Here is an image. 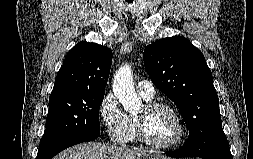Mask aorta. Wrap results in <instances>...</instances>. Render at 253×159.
Masks as SVG:
<instances>
[{"mask_svg":"<svg viewBox=\"0 0 253 159\" xmlns=\"http://www.w3.org/2000/svg\"><path fill=\"white\" fill-rule=\"evenodd\" d=\"M113 92L127 112H137L143 107L141 99L137 96L134 88L131 66H121L114 77Z\"/></svg>","mask_w":253,"mask_h":159,"instance_id":"762f6f07","label":"aorta"}]
</instances>
